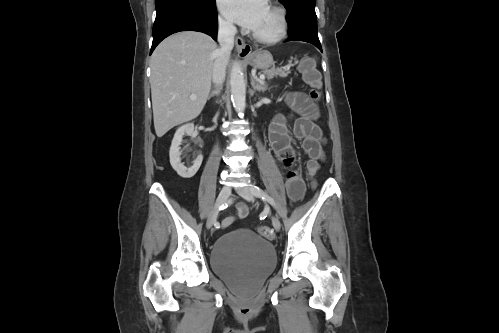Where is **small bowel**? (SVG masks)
Masks as SVG:
<instances>
[{
  "label": "small bowel",
  "instance_id": "c3829d8e",
  "mask_svg": "<svg viewBox=\"0 0 499 333\" xmlns=\"http://www.w3.org/2000/svg\"><path fill=\"white\" fill-rule=\"evenodd\" d=\"M287 102L299 115L292 130L293 137L299 141L301 148L309 159L318 162L324 161L326 139L323 130L315 122L320 115L318 107L302 92L288 94ZM269 141L278 159L288 168L285 187L289 198L295 201L299 200L304 194L305 185L300 172L294 168L296 150L284 116L278 115L272 121L269 130ZM247 214V206L244 203H239L237 205V214L226 218L223 227H227L236 219L245 218Z\"/></svg>",
  "mask_w": 499,
  "mask_h": 333
}]
</instances>
